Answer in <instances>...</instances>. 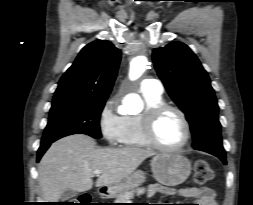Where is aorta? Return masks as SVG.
Listing matches in <instances>:
<instances>
[{
  "mask_svg": "<svg viewBox=\"0 0 253 205\" xmlns=\"http://www.w3.org/2000/svg\"><path fill=\"white\" fill-rule=\"evenodd\" d=\"M147 59L144 56H138L130 64V78L135 80L145 71Z\"/></svg>",
  "mask_w": 253,
  "mask_h": 205,
  "instance_id": "1",
  "label": "aorta"
}]
</instances>
